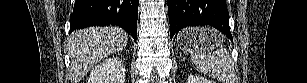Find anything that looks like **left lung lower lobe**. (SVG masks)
Masks as SVG:
<instances>
[{"instance_id":"left-lung-lower-lobe-1","label":"left lung lower lobe","mask_w":307,"mask_h":83,"mask_svg":"<svg viewBox=\"0 0 307 83\" xmlns=\"http://www.w3.org/2000/svg\"><path fill=\"white\" fill-rule=\"evenodd\" d=\"M167 3L171 39L185 27L210 25L232 40L225 0H167Z\"/></svg>"}]
</instances>
